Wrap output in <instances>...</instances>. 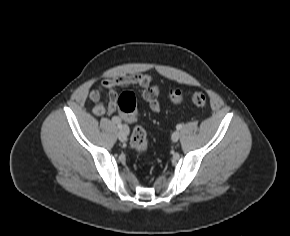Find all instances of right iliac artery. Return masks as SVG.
Here are the masks:
<instances>
[{"label": "right iliac artery", "mask_w": 290, "mask_h": 236, "mask_svg": "<svg viewBox=\"0 0 290 236\" xmlns=\"http://www.w3.org/2000/svg\"><path fill=\"white\" fill-rule=\"evenodd\" d=\"M117 127H118L119 129H121V128H122V124H121V123H118V124H117Z\"/></svg>", "instance_id": "right-iliac-artery-1"}]
</instances>
